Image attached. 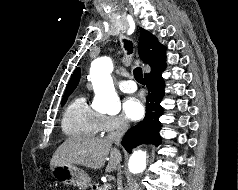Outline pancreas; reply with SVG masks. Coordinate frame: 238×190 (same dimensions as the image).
Here are the masks:
<instances>
[{"label":"pancreas","mask_w":238,"mask_h":190,"mask_svg":"<svg viewBox=\"0 0 238 190\" xmlns=\"http://www.w3.org/2000/svg\"><path fill=\"white\" fill-rule=\"evenodd\" d=\"M110 189H111L110 187L106 188L104 185V186L98 187L96 190H110Z\"/></svg>","instance_id":"pancreas-1"}]
</instances>
